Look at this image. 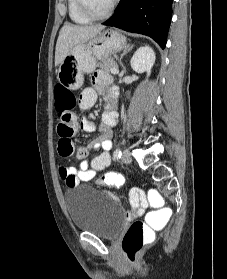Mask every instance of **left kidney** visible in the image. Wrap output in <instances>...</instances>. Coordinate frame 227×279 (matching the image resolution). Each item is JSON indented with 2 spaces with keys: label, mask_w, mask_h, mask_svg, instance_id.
<instances>
[{
  "label": "left kidney",
  "mask_w": 227,
  "mask_h": 279,
  "mask_svg": "<svg viewBox=\"0 0 227 279\" xmlns=\"http://www.w3.org/2000/svg\"><path fill=\"white\" fill-rule=\"evenodd\" d=\"M154 63L155 53L149 46L140 47L131 58L132 69L137 73L146 72L147 76L151 74Z\"/></svg>",
  "instance_id": "1"
}]
</instances>
